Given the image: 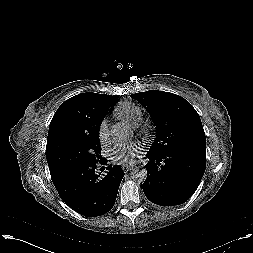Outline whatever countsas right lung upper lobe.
<instances>
[{
    "label": "right lung upper lobe",
    "mask_w": 253,
    "mask_h": 253,
    "mask_svg": "<svg viewBox=\"0 0 253 253\" xmlns=\"http://www.w3.org/2000/svg\"><path fill=\"white\" fill-rule=\"evenodd\" d=\"M118 97L87 92L66 100L51 120L46 148L63 135L91 133L99 129L110 106Z\"/></svg>",
    "instance_id": "cb5924a9"
}]
</instances>
